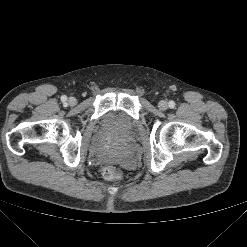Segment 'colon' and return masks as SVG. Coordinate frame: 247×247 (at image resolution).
Returning a JSON list of instances; mask_svg holds the SVG:
<instances>
[{
    "mask_svg": "<svg viewBox=\"0 0 247 247\" xmlns=\"http://www.w3.org/2000/svg\"><path fill=\"white\" fill-rule=\"evenodd\" d=\"M102 175L107 180H119L121 178L120 172L114 166L104 167Z\"/></svg>",
    "mask_w": 247,
    "mask_h": 247,
    "instance_id": "obj_1",
    "label": "colon"
}]
</instances>
